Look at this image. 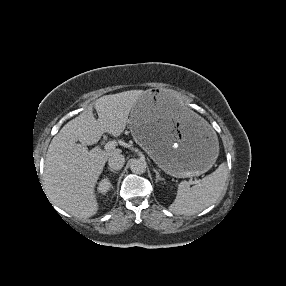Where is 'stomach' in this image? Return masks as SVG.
Returning a JSON list of instances; mask_svg holds the SVG:
<instances>
[{"label":"stomach","mask_w":286,"mask_h":286,"mask_svg":"<svg viewBox=\"0 0 286 286\" xmlns=\"http://www.w3.org/2000/svg\"><path fill=\"white\" fill-rule=\"evenodd\" d=\"M128 122L135 141L171 176H199L218 157L213 127L185 107L174 92L145 91L135 102Z\"/></svg>","instance_id":"1"}]
</instances>
